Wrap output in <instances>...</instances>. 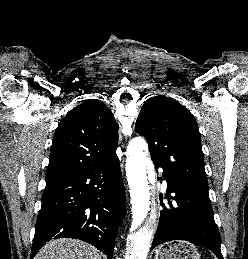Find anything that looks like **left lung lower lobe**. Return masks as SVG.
<instances>
[{
  "mask_svg": "<svg viewBox=\"0 0 248 259\" xmlns=\"http://www.w3.org/2000/svg\"><path fill=\"white\" fill-rule=\"evenodd\" d=\"M163 176L168 184L166 197L174 202L161 204L163 210L151 250L167 241L185 240L202 245L223 259L208 193L191 191L165 172ZM171 193L175 196L171 197Z\"/></svg>",
  "mask_w": 248,
  "mask_h": 259,
  "instance_id": "left-lung-lower-lobe-1",
  "label": "left lung lower lobe"
}]
</instances>
